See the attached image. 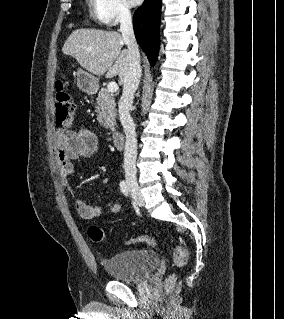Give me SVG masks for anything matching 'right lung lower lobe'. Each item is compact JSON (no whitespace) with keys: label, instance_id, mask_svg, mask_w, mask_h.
I'll use <instances>...</instances> for the list:
<instances>
[{"label":"right lung lower lobe","instance_id":"98d812e1","mask_svg":"<svg viewBox=\"0 0 284 319\" xmlns=\"http://www.w3.org/2000/svg\"><path fill=\"white\" fill-rule=\"evenodd\" d=\"M161 0H145L133 16L136 39L154 65L159 50Z\"/></svg>","mask_w":284,"mask_h":319}]
</instances>
